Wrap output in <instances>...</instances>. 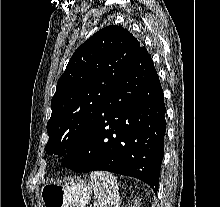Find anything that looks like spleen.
I'll use <instances>...</instances> for the list:
<instances>
[{"label":"spleen","instance_id":"1","mask_svg":"<svg viewBox=\"0 0 220 207\" xmlns=\"http://www.w3.org/2000/svg\"><path fill=\"white\" fill-rule=\"evenodd\" d=\"M90 177L97 207H118L119 194L116 177L103 171L92 172Z\"/></svg>","mask_w":220,"mask_h":207}]
</instances>
